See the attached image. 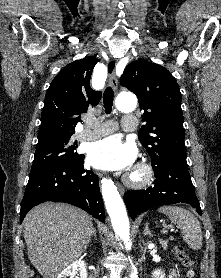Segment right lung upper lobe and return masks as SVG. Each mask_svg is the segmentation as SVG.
<instances>
[{"label":"right lung upper lobe","mask_w":221,"mask_h":278,"mask_svg":"<svg viewBox=\"0 0 221 278\" xmlns=\"http://www.w3.org/2000/svg\"><path fill=\"white\" fill-rule=\"evenodd\" d=\"M95 57L66 65L53 79L45 95L38 142L72 136L80 115L95 107L101 92L90 87Z\"/></svg>","instance_id":"right-lung-upper-lobe-1"}]
</instances>
